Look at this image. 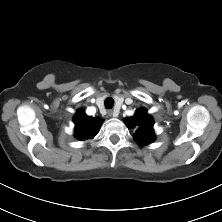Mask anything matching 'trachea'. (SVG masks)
<instances>
[{"label": "trachea", "instance_id": "3493384b", "mask_svg": "<svg viewBox=\"0 0 222 222\" xmlns=\"http://www.w3.org/2000/svg\"><path fill=\"white\" fill-rule=\"evenodd\" d=\"M105 108L111 109L114 106V100L110 97L106 98L104 101Z\"/></svg>", "mask_w": 222, "mask_h": 222}]
</instances>
